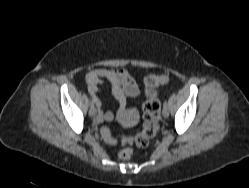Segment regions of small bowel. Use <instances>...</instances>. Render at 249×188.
<instances>
[{
    "label": "small bowel",
    "instance_id": "obj_1",
    "mask_svg": "<svg viewBox=\"0 0 249 188\" xmlns=\"http://www.w3.org/2000/svg\"><path fill=\"white\" fill-rule=\"evenodd\" d=\"M105 80L111 84L112 93L118 103L121 115L126 112L127 97L137 98L140 94L136 79L126 69L97 68L90 71L85 78V85L91 96L97 98L95 103L98 108V115L95 119L96 123L110 122L114 119V113L112 111H104L102 103L97 97L99 85Z\"/></svg>",
    "mask_w": 249,
    "mask_h": 188
}]
</instances>
